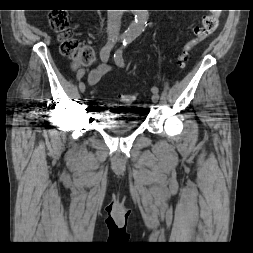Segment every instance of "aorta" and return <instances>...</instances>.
Returning <instances> with one entry per match:
<instances>
[{
	"instance_id": "1",
	"label": "aorta",
	"mask_w": 253,
	"mask_h": 253,
	"mask_svg": "<svg viewBox=\"0 0 253 253\" xmlns=\"http://www.w3.org/2000/svg\"><path fill=\"white\" fill-rule=\"evenodd\" d=\"M134 16L135 20L124 33L125 39H134L145 30L149 18L148 10H134Z\"/></svg>"
}]
</instances>
